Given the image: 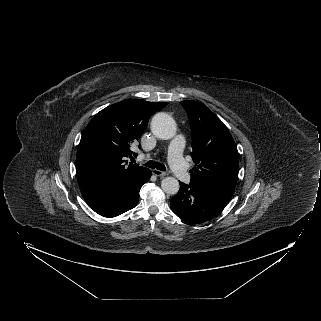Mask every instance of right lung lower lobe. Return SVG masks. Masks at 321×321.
Instances as JSON below:
<instances>
[{
	"instance_id": "98d812e1",
	"label": "right lung lower lobe",
	"mask_w": 321,
	"mask_h": 321,
	"mask_svg": "<svg viewBox=\"0 0 321 321\" xmlns=\"http://www.w3.org/2000/svg\"><path fill=\"white\" fill-rule=\"evenodd\" d=\"M150 177L151 171L147 169L133 178L108 181L82 189V195L96 213L115 217L137 205L140 188Z\"/></svg>"
}]
</instances>
